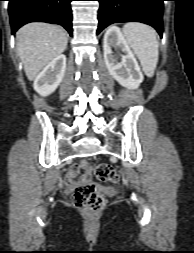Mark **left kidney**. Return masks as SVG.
<instances>
[{
    "instance_id": "left-kidney-1",
    "label": "left kidney",
    "mask_w": 194,
    "mask_h": 253,
    "mask_svg": "<svg viewBox=\"0 0 194 253\" xmlns=\"http://www.w3.org/2000/svg\"><path fill=\"white\" fill-rule=\"evenodd\" d=\"M120 49L121 61L113 55L112 48ZM104 62L111 76L122 86L128 89H137L143 81V75L131 52L124 36L117 27L109 28L103 39Z\"/></svg>"
}]
</instances>
